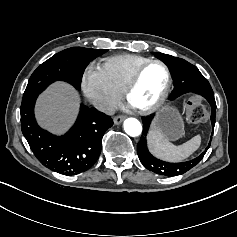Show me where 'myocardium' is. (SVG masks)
Listing matches in <instances>:
<instances>
[{
  "label": "myocardium",
  "mask_w": 237,
  "mask_h": 237,
  "mask_svg": "<svg viewBox=\"0 0 237 237\" xmlns=\"http://www.w3.org/2000/svg\"><path fill=\"white\" fill-rule=\"evenodd\" d=\"M153 64H158L160 66H162L165 70L166 73V84L164 87V90L162 91L160 97L150 106L146 107V108H142V109H138V108H133L134 111L139 114V115H150L156 111H158L166 102L170 91H171V86H172V74H171V70L169 68V66L163 62L162 60L159 59H153V60H149L146 63H144L136 72L135 74L132 76V78L130 79V81L128 82L123 94H124V98L125 101L130 105V98L131 95L134 91V89L137 87L141 76L143 74V72L151 65Z\"/></svg>",
  "instance_id": "obj_1"
}]
</instances>
